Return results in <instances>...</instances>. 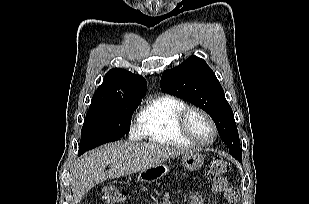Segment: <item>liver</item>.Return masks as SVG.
Wrapping results in <instances>:
<instances>
[{"mask_svg":"<svg viewBox=\"0 0 309 204\" xmlns=\"http://www.w3.org/2000/svg\"><path fill=\"white\" fill-rule=\"evenodd\" d=\"M187 150L156 143L115 142L85 153L72 169L71 188L79 202L94 186L148 169ZM107 165L110 168L105 171Z\"/></svg>","mask_w":309,"mask_h":204,"instance_id":"1","label":"liver"}]
</instances>
